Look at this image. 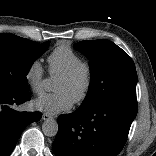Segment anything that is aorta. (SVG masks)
I'll return each instance as SVG.
<instances>
[{"instance_id":"762f6f07","label":"aorta","mask_w":156,"mask_h":156,"mask_svg":"<svg viewBox=\"0 0 156 156\" xmlns=\"http://www.w3.org/2000/svg\"><path fill=\"white\" fill-rule=\"evenodd\" d=\"M45 87L49 86V79H45L44 81ZM42 132L45 136L53 137L56 136L58 132V123L54 119H46L42 124Z\"/></svg>"}]
</instances>
